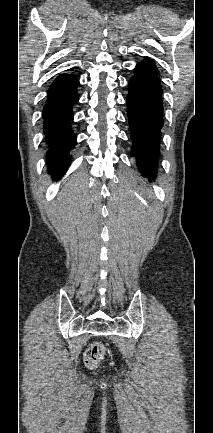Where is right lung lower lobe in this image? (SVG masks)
<instances>
[{"mask_svg": "<svg viewBox=\"0 0 213 433\" xmlns=\"http://www.w3.org/2000/svg\"><path fill=\"white\" fill-rule=\"evenodd\" d=\"M78 79L73 75L61 74L48 89L43 107V132L47 145L46 165L56 181L67 171L70 151L77 144L71 129L73 106L78 102Z\"/></svg>", "mask_w": 213, "mask_h": 433, "instance_id": "1", "label": "right lung lower lobe"}]
</instances>
